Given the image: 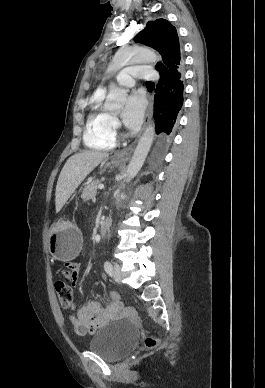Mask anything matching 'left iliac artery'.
<instances>
[{"instance_id":"left-iliac-artery-1","label":"left iliac artery","mask_w":265,"mask_h":388,"mask_svg":"<svg viewBox=\"0 0 265 388\" xmlns=\"http://www.w3.org/2000/svg\"><path fill=\"white\" fill-rule=\"evenodd\" d=\"M104 269H105V271H106L107 273H111L112 270H113V267H112L111 262L106 261V262L104 263Z\"/></svg>"}]
</instances>
